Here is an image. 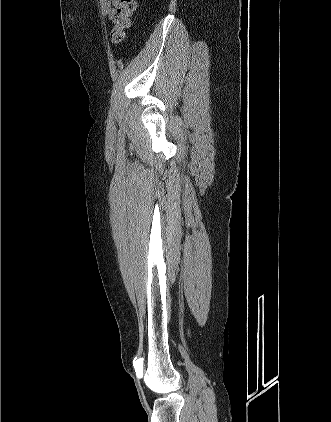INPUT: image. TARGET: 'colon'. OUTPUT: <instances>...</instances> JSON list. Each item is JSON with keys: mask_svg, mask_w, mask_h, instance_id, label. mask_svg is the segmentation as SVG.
<instances>
[{"mask_svg": "<svg viewBox=\"0 0 331 422\" xmlns=\"http://www.w3.org/2000/svg\"><path fill=\"white\" fill-rule=\"evenodd\" d=\"M136 9L135 0H121V6L114 18V27L109 32L110 41L118 45L125 39V31L131 25V17Z\"/></svg>", "mask_w": 331, "mask_h": 422, "instance_id": "colon-1", "label": "colon"}]
</instances>
